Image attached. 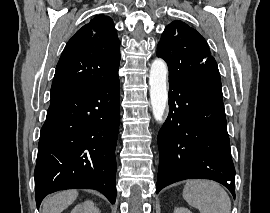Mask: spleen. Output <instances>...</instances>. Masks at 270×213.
Wrapping results in <instances>:
<instances>
[{
	"label": "spleen",
	"mask_w": 270,
	"mask_h": 213,
	"mask_svg": "<svg viewBox=\"0 0 270 213\" xmlns=\"http://www.w3.org/2000/svg\"><path fill=\"white\" fill-rule=\"evenodd\" d=\"M184 200L200 213H230L231 201L224 188L210 180H188L183 189Z\"/></svg>",
	"instance_id": "1"
}]
</instances>
